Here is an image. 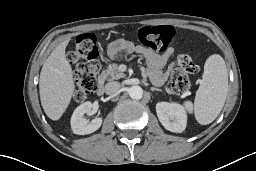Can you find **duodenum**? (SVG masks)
Segmentation results:
<instances>
[{"instance_id":"duodenum-1","label":"duodenum","mask_w":256,"mask_h":171,"mask_svg":"<svg viewBox=\"0 0 256 171\" xmlns=\"http://www.w3.org/2000/svg\"><path fill=\"white\" fill-rule=\"evenodd\" d=\"M96 92L98 95H103L104 93V78L101 76L99 81H98V84H97V87H96Z\"/></svg>"}]
</instances>
